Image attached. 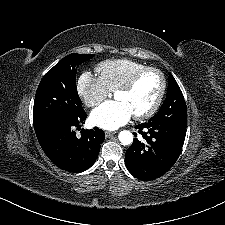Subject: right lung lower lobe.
I'll list each match as a JSON object with an SVG mask.
<instances>
[{
  "label": "right lung lower lobe",
  "mask_w": 225,
  "mask_h": 225,
  "mask_svg": "<svg viewBox=\"0 0 225 225\" xmlns=\"http://www.w3.org/2000/svg\"><path fill=\"white\" fill-rule=\"evenodd\" d=\"M86 116L83 109L76 115L49 122L35 130L45 154L65 171L78 173L91 167L105 139L104 131L97 127L86 130L81 138L76 137L75 129L85 123Z\"/></svg>",
  "instance_id": "1"
}]
</instances>
